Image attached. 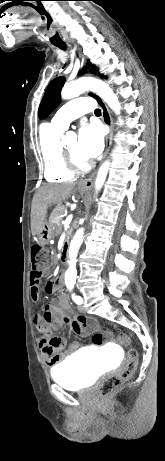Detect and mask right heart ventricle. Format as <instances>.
Segmentation results:
<instances>
[{"mask_svg":"<svg viewBox=\"0 0 165 461\" xmlns=\"http://www.w3.org/2000/svg\"><path fill=\"white\" fill-rule=\"evenodd\" d=\"M63 130L52 124H43L39 131V149L43 173L48 182L69 181L74 174L64 164L60 136Z\"/></svg>","mask_w":165,"mask_h":461,"instance_id":"1","label":"right heart ventricle"}]
</instances>
